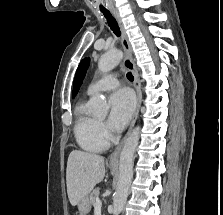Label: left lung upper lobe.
<instances>
[{
	"mask_svg": "<svg viewBox=\"0 0 223 215\" xmlns=\"http://www.w3.org/2000/svg\"><path fill=\"white\" fill-rule=\"evenodd\" d=\"M88 65H89V59L85 58L81 61V63L79 64L77 68L75 79H74L73 96L77 94L83 82V78L85 77Z\"/></svg>",
	"mask_w": 223,
	"mask_h": 215,
	"instance_id": "left-lung-upper-lobe-1",
	"label": "left lung upper lobe"
}]
</instances>
